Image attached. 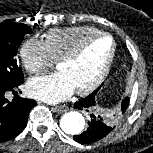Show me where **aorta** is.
Segmentation results:
<instances>
[{"instance_id": "1", "label": "aorta", "mask_w": 153, "mask_h": 153, "mask_svg": "<svg viewBox=\"0 0 153 153\" xmlns=\"http://www.w3.org/2000/svg\"><path fill=\"white\" fill-rule=\"evenodd\" d=\"M60 127L66 134L78 135L85 127V118L77 111L68 112L61 117Z\"/></svg>"}]
</instances>
